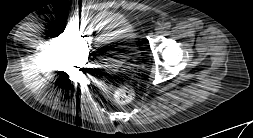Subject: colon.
Returning <instances> with one entry per match:
<instances>
[{
  "label": "colon",
  "mask_w": 253,
  "mask_h": 138,
  "mask_svg": "<svg viewBox=\"0 0 253 138\" xmlns=\"http://www.w3.org/2000/svg\"><path fill=\"white\" fill-rule=\"evenodd\" d=\"M134 87L127 81L123 80L114 88V98L120 104H127L134 98Z\"/></svg>",
  "instance_id": "5ec220e1"
}]
</instances>
